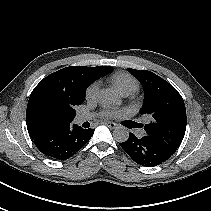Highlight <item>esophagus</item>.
<instances>
[{
  "instance_id": "esophagus-1",
  "label": "esophagus",
  "mask_w": 211,
  "mask_h": 211,
  "mask_svg": "<svg viewBox=\"0 0 211 211\" xmlns=\"http://www.w3.org/2000/svg\"><path fill=\"white\" fill-rule=\"evenodd\" d=\"M103 124H105L106 126H108L111 129H115L117 127L116 123L110 122V121L103 122Z\"/></svg>"
}]
</instances>
